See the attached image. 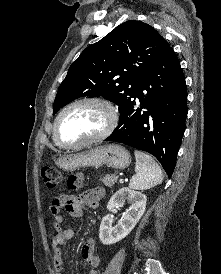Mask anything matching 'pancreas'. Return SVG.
Returning a JSON list of instances; mask_svg holds the SVG:
<instances>
[{"mask_svg":"<svg viewBox=\"0 0 221 274\" xmlns=\"http://www.w3.org/2000/svg\"><path fill=\"white\" fill-rule=\"evenodd\" d=\"M118 176L116 175H106L101 178L102 183L107 187H113L115 183H117Z\"/></svg>","mask_w":221,"mask_h":274,"instance_id":"pancreas-1","label":"pancreas"}]
</instances>
